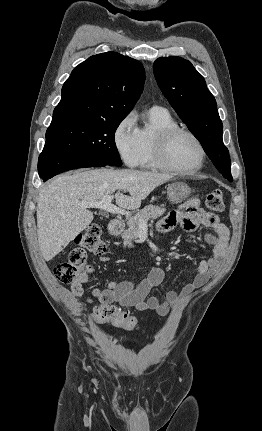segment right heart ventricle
<instances>
[{
    "mask_svg": "<svg viewBox=\"0 0 262 431\" xmlns=\"http://www.w3.org/2000/svg\"><path fill=\"white\" fill-rule=\"evenodd\" d=\"M148 124L138 128L140 156L138 165L146 169L159 168L154 157V140L163 128L177 126L171 114L161 108L152 107L147 112Z\"/></svg>",
    "mask_w": 262,
    "mask_h": 431,
    "instance_id": "e07e8e85",
    "label": "right heart ventricle"
}]
</instances>
